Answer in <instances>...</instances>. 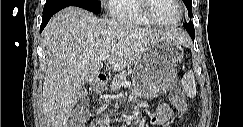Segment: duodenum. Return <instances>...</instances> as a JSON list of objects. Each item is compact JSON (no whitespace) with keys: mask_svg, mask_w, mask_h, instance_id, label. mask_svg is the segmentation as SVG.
Returning <instances> with one entry per match:
<instances>
[{"mask_svg":"<svg viewBox=\"0 0 243 127\" xmlns=\"http://www.w3.org/2000/svg\"><path fill=\"white\" fill-rule=\"evenodd\" d=\"M108 82H109V78L107 75L103 74V73H99L96 77H95V80H94V83H93V87L97 90L99 89H103L105 88L107 85H108ZM98 123L100 125H105L104 122H106L105 119H98L97 120Z\"/></svg>","mask_w":243,"mask_h":127,"instance_id":"1","label":"duodenum"}]
</instances>
